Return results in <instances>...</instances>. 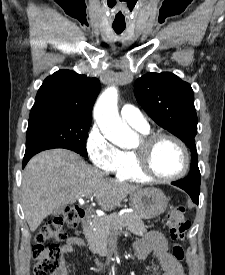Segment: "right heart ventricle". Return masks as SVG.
Instances as JSON below:
<instances>
[{
    "label": "right heart ventricle",
    "instance_id": "1",
    "mask_svg": "<svg viewBox=\"0 0 225 275\" xmlns=\"http://www.w3.org/2000/svg\"><path fill=\"white\" fill-rule=\"evenodd\" d=\"M137 129L143 134L149 133V128ZM113 172L117 178L123 180L132 182H144L149 180L138 171L134 151H122L120 163Z\"/></svg>",
    "mask_w": 225,
    "mask_h": 275
}]
</instances>
